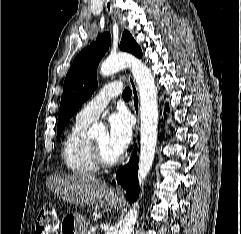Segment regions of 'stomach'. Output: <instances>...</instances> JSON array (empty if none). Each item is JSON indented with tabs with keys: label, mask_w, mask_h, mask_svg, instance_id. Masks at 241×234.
<instances>
[{
	"label": "stomach",
	"mask_w": 241,
	"mask_h": 234,
	"mask_svg": "<svg viewBox=\"0 0 241 234\" xmlns=\"http://www.w3.org/2000/svg\"><path fill=\"white\" fill-rule=\"evenodd\" d=\"M108 205L117 207L121 203V198L112 194L107 196ZM87 227L81 216L70 214L64 217L61 223L62 234H86Z\"/></svg>",
	"instance_id": "stomach-1"
}]
</instances>
